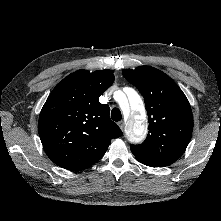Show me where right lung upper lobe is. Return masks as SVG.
<instances>
[{
    "label": "right lung upper lobe",
    "mask_w": 221,
    "mask_h": 221,
    "mask_svg": "<svg viewBox=\"0 0 221 221\" xmlns=\"http://www.w3.org/2000/svg\"><path fill=\"white\" fill-rule=\"evenodd\" d=\"M111 70H78L60 81L46 100L38 122L48 157L68 170H83L105 154L122 135L99 96L113 84Z\"/></svg>",
    "instance_id": "obj_1"
}]
</instances>
